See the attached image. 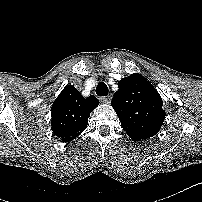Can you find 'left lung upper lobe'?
<instances>
[{
	"label": "left lung upper lobe",
	"mask_w": 202,
	"mask_h": 202,
	"mask_svg": "<svg viewBox=\"0 0 202 202\" xmlns=\"http://www.w3.org/2000/svg\"><path fill=\"white\" fill-rule=\"evenodd\" d=\"M112 107L124 131L134 141L156 135L166 115L159 93L138 73L119 81V90L112 99Z\"/></svg>",
	"instance_id": "5c2ea615"
}]
</instances>
